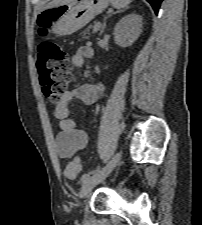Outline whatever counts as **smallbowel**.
<instances>
[{
  "mask_svg": "<svg viewBox=\"0 0 202 225\" xmlns=\"http://www.w3.org/2000/svg\"><path fill=\"white\" fill-rule=\"evenodd\" d=\"M92 56V48L85 45L76 50L71 61L75 67L80 68L83 66L85 59ZM103 91L104 88L101 84L95 87L86 84L80 85L64 93L61 100L54 107L53 115L60 129L56 137V149L60 157L71 158L84 149L88 142L85 131L78 128L76 120L70 117V103L76 99L87 105L94 104L103 94Z\"/></svg>",
  "mask_w": 202,
  "mask_h": 225,
  "instance_id": "small-bowel-1",
  "label": "small bowel"
}]
</instances>
